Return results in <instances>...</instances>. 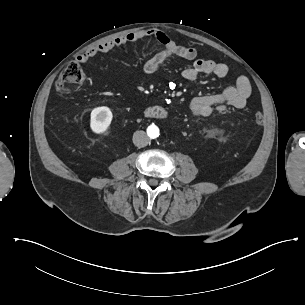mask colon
Segmentation results:
<instances>
[{
  "mask_svg": "<svg viewBox=\"0 0 305 305\" xmlns=\"http://www.w3.org/2000/svg\"><path fill=\"white\" fill-rule=\"evenodd\" d=\"M84 68L80 62L71 61L65 65L62 75L56 81V90L61 93L78 90L83 82ZM256 124L263 123V116L257 112L254 115Z\"/></svg>",
  "mask_w": 305,
  "mask_h": 305,
  "instance_id": "obj_1",
  "label": "colon"
}]
</instances>
